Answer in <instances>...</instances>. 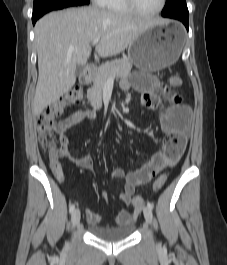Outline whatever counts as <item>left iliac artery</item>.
I'll list each match as a JSON object with an SVG mask.
<instances>
[{"mask_svg": "<svg viewBox=\"0 0 227 265\" xmlns=\"http://www.w3.org/2000/svg\"><path fill=\"white\" fill-rule=\"evenodd\" d=\"M147 206H148V208L150 209V210H153V204L151 203V202H147Z\"/></svg>", "mask_w": 227, "mask_h": 265, "instance_id": "left-iliac-artery-1", "label": "left iliac artery"}]
</instances>
